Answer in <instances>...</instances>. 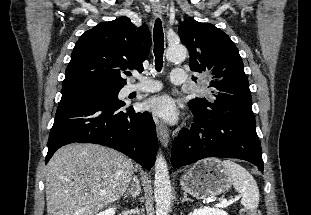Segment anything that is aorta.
I'll return each mask as SVG.
<instances>
[{
	"label": "aorta",
	"mask_w": 311,
	"mask_h": 215,
	"mask_svg": "<svg viewBox=\"0 0 311 215\" xmlns=\"http://www.w3.org/2000/svg\"><path fill=\"white\" fill-rule=\"evenodd\" d=\"M187 49L183 45L168 47L166 58L170 62H180L186 58ZM154 197L156 215H168L171 205V182L167 162L161 154L155 162Z\"/></svg>",
	"instance_id": "762f6f07"
}]
</instances>
